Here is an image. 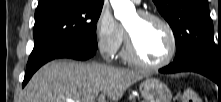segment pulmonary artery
<instances>
[{
	"label": "pulmonary artery",
	"mask_w": 221,
	"mask_h": 102,
	"mask_svg": "<svg viewBox=\"0 0 221 102\" xmlns=\"http://www.w3.org/2000/svg\"><path fill=\"white\" fill-rule=\"evenodd\" d=\"M133 2H135V3H140V0H133Z\"/></svg>",
	"instance_id": "pulmonary-artery-1"
}]
</instances>
